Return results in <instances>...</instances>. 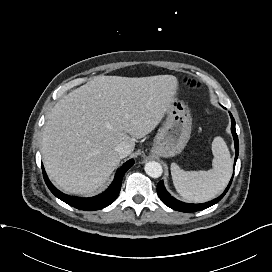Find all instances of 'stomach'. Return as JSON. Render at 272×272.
<instances>
[{
    "instance_id": "obj_1",
    "label": "stomach",
    "mask_w": 272,
    "mask_h": 272,
    "mask_svg": "<svg viewBox=\"0 0 272 272\" xmlns=\"http://www.w3.org/2000/svg\"><path fill=\"white\" fill-rule=\"evenodd\" d=\"M166 114L151 152L162 157H173L183 151L190 139L192 118L188 107L179 99L173 101Z\"/></svg>"
}]
</instances>
